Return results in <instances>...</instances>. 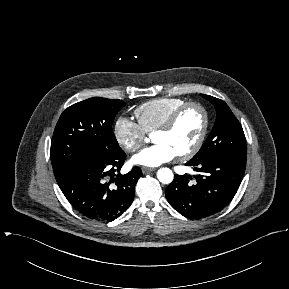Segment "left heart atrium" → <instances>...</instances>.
Wrapping results in <instances>:
<instances>
[{
	"label": "left heart atrium",
	"mask_w": 289,
	"mask_h": 289,
	"mask_svg": "<svg viewBox=\"0 0 289 289\" xmlns=\"http://www.w3.org/2000/svg\"><path fill=\"white\" fill-rule=\"evenodd\" d=\"M177 156L175 151L164 143H156L144 148L132 157V162L138 165L156 167L169 162Z\"/></svg>",
	"instance_id": "39dd6f15"
}]
</instances>
